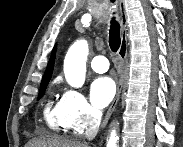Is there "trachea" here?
<instances>
[{"label":"trachea","mask_w":183,"mask_h":147,"mask_svg":"<svg viewBox=\"0 0 183 147\" xmlns=\"http://www.w3.org/2000/svg\"><path fill=\"white\" fill-rule=\"evenodd\" d=\"M114 2V1H112ZM121 45L120 25L115 17L112 18L109 30V46L113 53H116Z\"/></svg>","instance_id":"1"}]
</instances>
